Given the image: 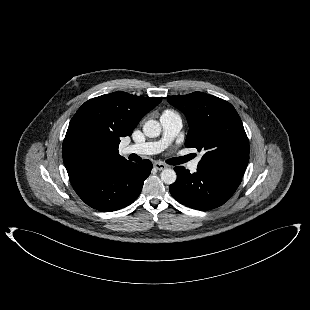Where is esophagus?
Returning a JSON list of instances; mask_svg holds the SVG:
<instances>
[{
    "label": "esophagus",
    "mask_w": 310,
    "mask_h": 310,
    "mask_svg": "<svg viewBox=\"0 0 310 310\" xmlns=\"http://www.w3.org/2000/svg\"><path fill=\"white\" fill-rule=\"evenodd\" d=\"M153 166L155 169H157L159 171L167 168V166L165 164L160 163V162H155Z\"/></svg>",
    "instance_id": "1"
}]
</instances>
